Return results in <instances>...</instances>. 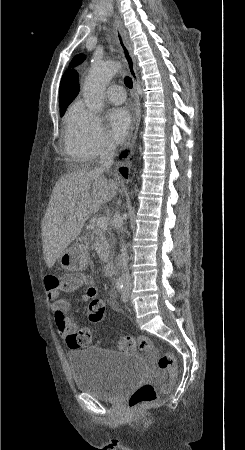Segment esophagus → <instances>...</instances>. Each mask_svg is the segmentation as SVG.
Masks as SVG:
<instances>
[{"label":"esophagus","mask_w":245,"mask_h":450,"mask_svg":"<svg viewBox=\"0 0 245 450\" xmlns=\"http://www.w3.org/2000/svg\"><path fill=\"white\" fill-rule=\"evenodd\" d=\"M114 27H115L116 43L118 45L120 53L122 54L127 64L128 71L133 81V97L135 101L134 117L127 142L124 146V149L131 150L135 145L141 120V102L138 91L139 76L136 69V61L133 55L132 45L128 39L126 28L124 27L122 21L117 15L114 16Z\"/></svg>","instance_id":"esophagus-1"}]
</instances>
